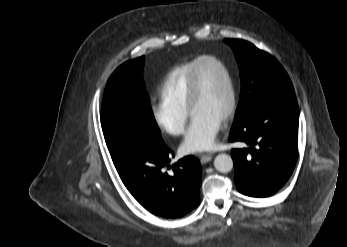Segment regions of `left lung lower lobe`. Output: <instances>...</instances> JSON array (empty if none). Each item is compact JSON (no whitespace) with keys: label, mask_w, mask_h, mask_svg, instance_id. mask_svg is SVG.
I'll list each match as a JSON object with an SVG mask.
<instances>
[{"label":"left lung lower lobe","mask_w":347,"mask_h":247,"mask_svg":"<svg viewBox=\"0 0 347 247\" xmlns=\"http://www.w3.org/2000/svg\"><path fill=\"white\" fill-rule=\"evenodd\" d=\"M231 142L244 148L232 149L235 183L251 197L277 192L295 167L298 146V106L295 94L271 96L234 123Z\"/></svg>","instance_id":"obj_1"}]
</instances>
